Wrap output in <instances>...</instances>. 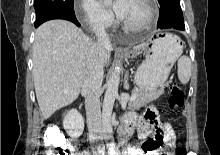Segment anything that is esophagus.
I'll return each mask as SVG.
<instances>
[{
    "mask_svg": "<svg viewBox=\"0 0 220 155\" xmlns=\"http://www.w3.org/2000/svg\"><path fill=\"white\" fill-rule=\"evenodd\" d=\"M126 50L124 48L118 47L116 48V53H124Z\"/></svg>",
    "mask_w": 220,
    "mask_h": 155,
    "instance_id": "obj_1",
    "label": "esophagus"
}]
</instances>
